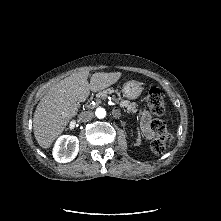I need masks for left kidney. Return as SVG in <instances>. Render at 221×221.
<instances>
[{"mask_svg":"<svg viewBox=\"0 0 221 221\" xmlns=\"http://www.w3.org/2000/svg\"><path fill=\"white\" fill-rule=\"evenodd\" d=\"M140 144V137L137 139V145Z\"/></svg>","mask_w":221,"mask_h":221,"instance_id":"5707ae66","label":"left kidney"}]
</instances>
